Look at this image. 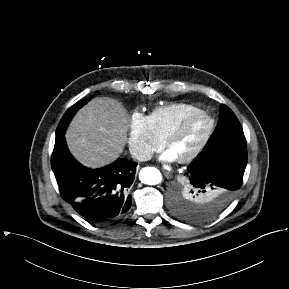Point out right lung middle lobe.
Here are the masks:
<instances>
[{"instance_id": "dd1d6c3e", "label": "right lung middle lobe", "mask_w": 289, "mask_h": 289, "mask_svg": "<svg viewBox=\"0 0 289 289\" xmlns=\"http://www.w3.org/2000/svg\"><path fill=\"white\" fill-rule=\"evenodd\" d=\"M89 100H90V98L86 99V100L79 101L66 111V113L62 117V119H61V121L57 127L56 137L60 136L61 134H63L65 132L66 127L69 124L70 120L72 119L73 115L76 113V111L79 108H81L83 105H85Z\"/></svg>"}]
</instances>
